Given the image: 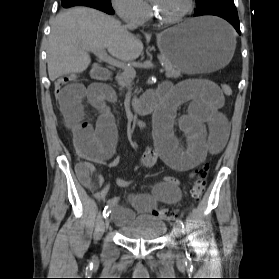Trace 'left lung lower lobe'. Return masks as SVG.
Masks as SVG:
<instances>
[{
	"label": "left lung lower lobe",
	"instance_id": "1",
	"mask_svg": "<svg viewBox=\"0 0 279 279\" xmlns=\"http://www.w3.org/2000/svg\"><path fill=\"white\" fill-rule=\"evenodd\" d=\"M215 15L224 18L241 34L239 18L233 0H210L198 7L194 16Z\"/></svg>",
	"mask_w": 279,
	"mask_h": 279
}]
</instances>
